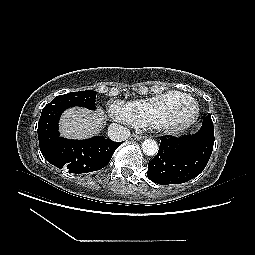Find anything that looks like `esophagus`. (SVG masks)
<instances>
[{"label": "esophagus", "instance_id": "1", "mask_svg": "<svg viewBox=\"0 0 255 255\" xmlns=\"http://www.w3.org/2000/svg\"><path fill=\"white\" fill-rule=\"evenodd\" d=\"M130 139L133 141H140L143 139V137L140 135H137V134H133V135H131Z\"/></svg>", "mask_w": 255, "mask_h": 255}]
</instances>
